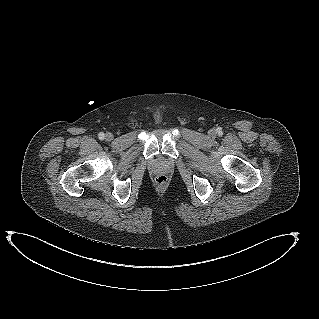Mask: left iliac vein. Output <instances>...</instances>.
<instances>
[{
	"label": "left iliac vein",
	"mask_w": 319,
	"mask_h": 319,
	"mask_svg": "<svg viewBox=\"0 0 319 319\" xmlns=\"http://www.w3.org/2000/svg\"><path fill=\"white\" fill-rule=\"evenodd\" d=\"M209 134L213 136V135H215V131L214 130H210Z\"/></svg>",
	"instance_id": "left-iliac-vein-1"
}]
</instances>
